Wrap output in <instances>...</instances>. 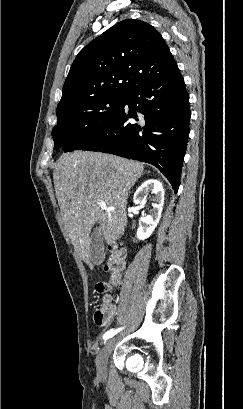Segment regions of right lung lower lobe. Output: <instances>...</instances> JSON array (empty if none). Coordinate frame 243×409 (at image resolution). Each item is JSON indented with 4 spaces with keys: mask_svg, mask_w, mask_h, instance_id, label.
I'll use <instances>...</instances> for the list:
<instances>
[{
    "mask_svg": "<svg viewBox=\"0 0 243 409\" xmlns=\"http://www.w3.org/2000/svg\"><path fill=\"white\" fill-rule=\"evenodd\" d=\"M190 117L189 94L177 69L132 89L112 122L85 138L75 150L100 151L150 163L177 192ZM129 118L137 122H129Z\"/></svg>",
    "mask_w": 243,
    "mask_h": 409,
    "instance_id": "98d812e1",
    "label": "right lung lower lobe"
}]
</instances>
